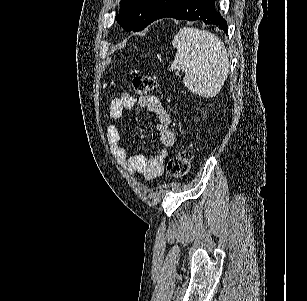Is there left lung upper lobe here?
I'll return each mask as SVG.
<instances>
[{"instance_id":"5c2ea615","label":"left lung upper lobe","mask_w":307,"mask_h":301,"mask_svg":"<svg viewBox=\"0 0 307 301\" xmlns=\"http://www.w3.org/2000/svg\"><path fill=\"white\" fill-rule=\"evenodd\" d=\"M177 0H121L117 22L126 31H141Z\"/></svg>"}]
</instances>
